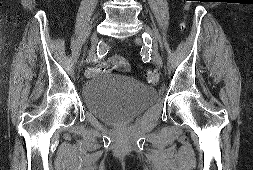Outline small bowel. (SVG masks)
<instances>
[{
	"label": "small bowel",
	"instance_id": "small-bowel-1",
	"mask_svg": "<svg viewBox=\"0 0 253 170\" xmlns=\"http://www.w3.org/2000/svg\"><path fill=\"white\" fill-rule=\"evenodd\" d=\"M118 58H119V57H115V58L112 59V61H115V60H117ZM96 71H97L96 69H90L88 73H89V74H92V73H95Z\"/></svg>",
	"mask_w": 253,
	"mask_h": 170
}]
</instances>
